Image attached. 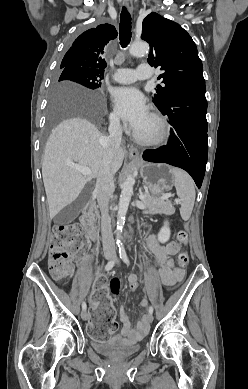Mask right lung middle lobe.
Masks as SVG:
<instances>
[{
    "mask_svg": "<svg viewBox=\"0 0 248 389\" xmlns=\"http://www.w3.org/2000/svg\"><path fill=\"white\" fill-rule=\"evenodd\" d=\"M62 69L56 78V83L62 82H74L80 84L89 89H99L101 87V80L103 75L94 71L73 67V66H60ZM51 119L65 115L68 112H77L87 115L92 119H97L100 114L99 106H94L83 101H78L73 104L63 105L60 103L53 104L51 109Z\"/></svg>",
    "mask_w": 248,
    "mask_h": 389,
    "instance_id": "right-lung-middle-lobe-1",
    "label": "right lung middle lobe"
}]
</instances>
